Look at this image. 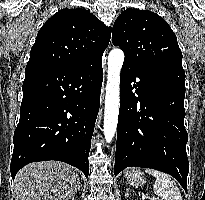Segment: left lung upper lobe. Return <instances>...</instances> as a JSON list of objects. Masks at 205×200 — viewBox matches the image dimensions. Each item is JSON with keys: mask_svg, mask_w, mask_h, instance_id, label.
<instances>
[{"mask_svg": "<svg viewBox=\"0 0 205 200\" xmlns=\"http://www.w3.org/2000/svg\"><path fill=\"white\" fill-rule=\"evenodd\" d=\"M112 42L124 54L123 65L140 69L169 62L181 63L175 33L158 14L129 8L116 19Z\"/></svg>", "mask_w": 205, "mask_h": 200, "instance_id": "5c2ea615", "label": "left lung upper lobe"}]
</instances>
